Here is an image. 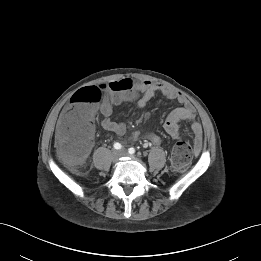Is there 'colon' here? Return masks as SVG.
<instances>
[{
	"mask_svg": "<svg viewBox=\"0 0 261 261\" xmlns=\"http://www.w3.org/2000/svg\"><path fill=\"white\" fill-rule=\"evenodd\" d=\"M130 79L111 82L101 86L84 87L76 91L71 99V109L62 117L59 133L62 136L59 153L70 167H79L85 160L90 148L89 121L94 114L96 105L101 101L104 91L118 92L131 89ZM193 158V148L186 139H179L171 154L174 169H183Z\"/></svg>",
	"mask_w": 261,
	"mask_h": 261,
	"instance_id": "5ec220e1",
	"label": "colon"
}]
</instances>
